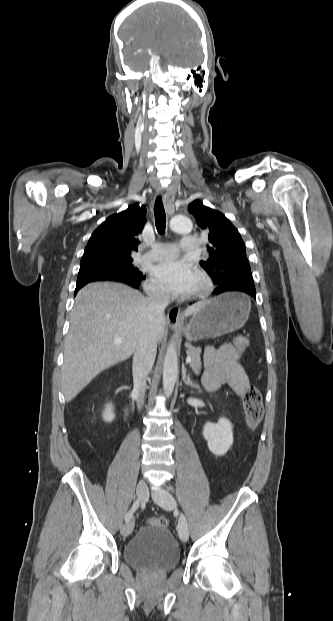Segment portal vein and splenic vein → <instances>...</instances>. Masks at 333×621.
<instances>
[{
    "instance_id": "portal-vein-and-splenic-vein-1",
    "label": "portal vein and splenic vein",
    "mask_w": 333,
    "mask_h": 621,
    "mask_svg": "<svg viewBox=\"0 0 333 621\" xmlns=\"http://www.w3.org/2000/svg\"><path fill=\"white\" fill-rule=\"evenodd\" d=\"M119 340L120 339H117L116 342L119 341ZM191 361H192V358L190 356H187L186 357V363H191Z\"/></svg>"
}]
</instances>
